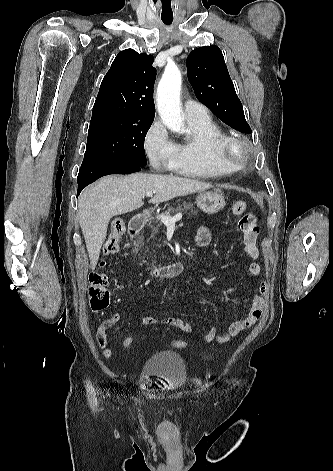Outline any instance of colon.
<instances>
[{
  "instance_id": "obj_1",
  "label": "colon",
  "mask_w": 333,
  "mask_h": 471,
  "mask_svg": "<svg viewBox=\"0 0 333 471\" xmlns=\"http://www.w3.org/2000/svg\"><path fill=\"white\" fill-rule=\"evenodd\" d=\"M246 210V202L243 200L236 201L231 207L233 215H241ZM125 232V223L121 218H116L111 224V232L104 244L103 253L105 257L115 255L119 250L120 238ZM105 265V261L101 262V266ZM109 279L106 274L102 272H93L90 275L89 287V303L93 311H102L109 306L110 295L107 289ZM134 338L127 336L124 338L122 345L125 349L132 347ZM171 347L176 349H186L188 343L185 340L177 339L170 343Z\"/></svg>"
}]
</instances>
